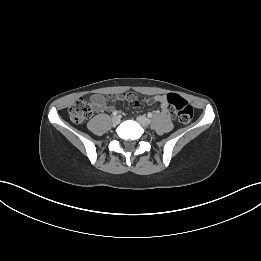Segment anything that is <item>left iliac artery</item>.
<instances>
[{"label": "left iliac artery", "mask_w": 261, "mask_h": 261, "mask_svg": "<svg viewBox=\"0 0 261 261\" xmlns=\"http://www.w3.org/2000/svg\"><path fill=\"white\" fill-rule=\"evenodd\" d=\"M153 116L152 113H148V117L151 118Z\"/></svg>", "instance_id": "1"}]
</instances>
